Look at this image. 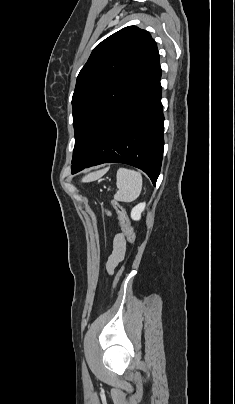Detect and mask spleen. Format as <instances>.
<instances>
[{
    "label": "spleen",
    "mask_w": 235,
    "mask_h": 404,
    "mask_svg": "<svg viewBox=\"0 0 235 404\" xmlns=\"http://www.w3.org/2000/svg\"><path fill=\"white\" fill-rule=\"evenodd\" d=\"M118 187L114 199L120 202H132L140 195L142 190V175L140 172L120 168L116 174Z\"/></svg>",
    "instance_id": "spleen-1"
}]
</instances>
